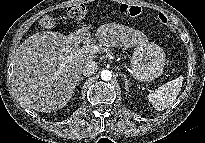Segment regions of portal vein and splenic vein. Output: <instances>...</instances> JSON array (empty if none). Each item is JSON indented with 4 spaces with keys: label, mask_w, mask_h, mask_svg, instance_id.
<instances>
[{
    "label": "portal vein and splenic vein",
    "mask_w": 205,
    "mask_h": 143,
    "mask_svg": "<svg viewBox=\"0 0 205 143\" xmlns=\"http://www.w3.org/2000/svg\"><path fill=\"white\" fill-rule=\"evenodd\" d=\"M84 48H85L86 50L90 51L91 53H94V54H97V53L100 52L99 47L96 46V45H89V44L87 43V45H85ZM77 53H80V51H77ZM77 53H76V54H77ZM72 57H73V54H70V55H68L65 59L71 60Z\"/></svg>",
    "instance_id": "1"
}]
</instances>
